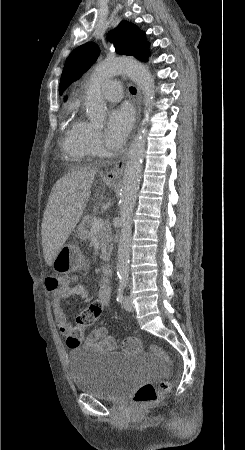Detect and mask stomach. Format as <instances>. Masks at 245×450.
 I'll return each instance as SVG.
<instances>
[{"mask_svg": "<svg viewBox=\"0 0 245 450\" xmlns=\"http://www.w3.org/2000/svg\"><path fill=\"white\" fill-rule=\"evenodd\" d=\"M83 263L84 259L79 247L66 244L56 255L52 267L57 273L68 274L79 270Z\"/></svg>", "mask_w": 245, "mask_h": 450, "instance_id": "0dacf381", "label": "stomach"}]
</instances>
